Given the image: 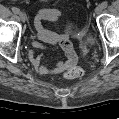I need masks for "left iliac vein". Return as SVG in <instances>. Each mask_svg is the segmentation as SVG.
<instances>
[{"label": "left iliac vein", "mask_w": 119, "mask_h": 119, "mask_svg": "<svg viewBox=\"0 0 119 119\" xmlns=\"http://www.w3.org/2000/svg\"><path fill=\"white\" fill-rule=\"evenodd\" d=\"M103 11V7L102 5H99L95 8V13L98 15Z\"/></svg>", "instance_id": "left-iliac-vein-1"}]
</instances>
